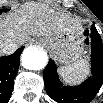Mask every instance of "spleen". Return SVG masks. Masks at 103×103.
Wrapping results in <instances>:
<instances>
[{
  "mask_svg": "<svg viewBox=\"0 0 103 103\" xmlns=\"http://www.w3.org/2000/svg\"><path fill=\"white\" fill-rule=\"evenodd\" d=\"M59 72L65 82L78 84L89 75V65L84 59H79L76 62L59 68Z\"/></svg>",
  "mask_w": 103,
  "mask_h": 103,
  "instance_id": "3e777b00",
  "label": "spleen"
}]
</instances>
